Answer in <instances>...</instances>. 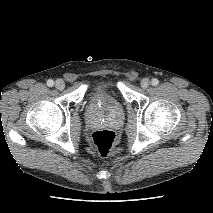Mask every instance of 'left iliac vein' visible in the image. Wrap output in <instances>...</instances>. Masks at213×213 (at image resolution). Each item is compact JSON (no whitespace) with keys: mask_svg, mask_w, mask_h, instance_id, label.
<instances>
[{"mask_svg":"<svg viewBox=\"0 0 213 213\" xmlns=\"http://www.w3.org/2000/svg\"><path fill=\"white\" fill-rule=\"evenodd\" d=\"M143 89H146L150 85V80L147 78H143L140 83Z\"/></svg>","mask_w":213,"mask_h":213,"instance_id":"obj_1","label":"left iliac vein"}]
</instances>
